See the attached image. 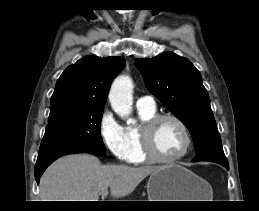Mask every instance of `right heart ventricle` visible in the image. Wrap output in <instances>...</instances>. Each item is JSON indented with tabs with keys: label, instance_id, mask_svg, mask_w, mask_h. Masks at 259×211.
<instances>
[{
	"label": "right heart ventricle",
	"instance_id": "e07e8e85",
	"mask_svg": "<svg viewBox=\"0 0 259 211\" xmlns=\"http://www.w3.org/2000/svg\"><path fill=\"white\" fill-rule=\"evenodd\" d=\"M138 114L141 123L139 125H129L124 128V137H125V154L124 160L131 164H145L149 161L145 157L141 147L140 141V126L141 124L155 116L157 114L156 108L149 109L143 107H137Z\"/></svg>",
	"mask_w": 259,
	"mask_h": 211
}]
</instances>
